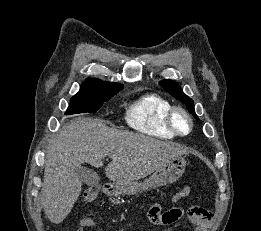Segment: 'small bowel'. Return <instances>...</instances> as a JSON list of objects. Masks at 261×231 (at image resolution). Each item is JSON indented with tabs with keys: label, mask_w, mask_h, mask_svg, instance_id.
Returning a JSON list of instances; mask_svg holds the SVG:
<instances>
[{
	"label": "small bowel",
	"mask_w": 261,
	"mask_h": 231,
	"mask_svg": "<svg viewBox=\"0 0 261 231\" xmlns=\"http://www.w3.org/2000/svg\"><path fill=\"white\" fill-rule=\"evenodd\" d=\"M188 194H189V189L184 188L174 196V199L176 200L185 197ZM185 213L186 211L183 207H174L164 211L161 204L155 202L150 205L148 210L149 223L152 226H173L180 220L181 217L185 215ZM80 224L81 226L76 231H92L91 228L94 227L93 220L88 216H84L81 219ZM194 231H201V230L194 226Z\"/></svg>",
	"instance_id": "1"
}]
</instances>
